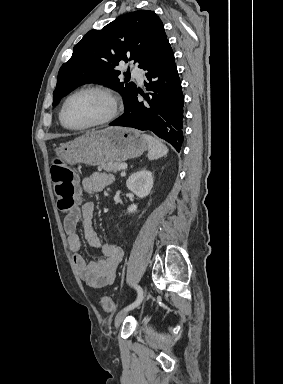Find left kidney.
I'll return each mask as SVG.
<instances>
[{
  "mask_svg": "<svg viewBox=\"0 0 283 384\" xmlns=\"http://www.w3.org/2000/svg\"><path fill=\"white\" fill-rule=\"evenodd\" d=\"M126 186L128 190H131V192L136 194L138 198H145V196L150 194L153 188V176L149 170L143 168V170H140V172H135V174H131V176H129L126 182ZM136 210V204H131L127 212L128 214H133V212H136Z\"/></svg>",
  "mask_w": 283,
  "mask_h": 384,
  "instance_id": "obj_1",
  "label": "left kidney"
}]
</instances>
